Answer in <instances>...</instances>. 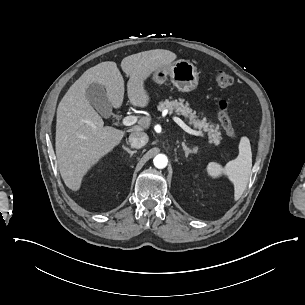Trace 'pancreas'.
<instances>
[{"label": "pancreas", "instance_id": "pancreas-1", "mask_svg": "<svg viewBox=\"0 0 305 305\" xmlns=\"http://www.w3.org/2000/svg\"><path fill=\"white\" fill-rule=\"evenodd\" d=\"M158 111L168 110L170 114L176 113L177 115H182L185 118H189V124L193 125L194 128L207 132L208 138L211 142L219 144L221 137V132L219 131V125L207 122L204 117L202 120L197 119L196 112L193 111L188 103L184 104V99L179 100H169L159 102L157 106Z\"/></svg>", "mask_w": 305, "mask_h": 305}]
</instances>
